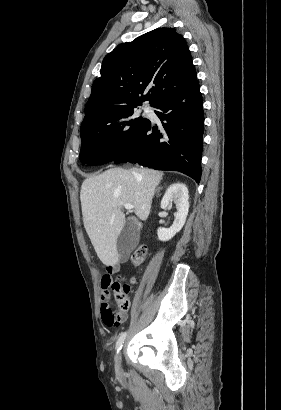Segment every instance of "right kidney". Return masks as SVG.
<instances>
[{"instance_id": "1", "label": "right kidney", "mask_w": 281, "mask_h": 410, "mask_svg": "<svg viewBox=\"0 0 281 410\" xmlns=\"http://www.w3.org/2000/svg\"><path fill=\"white\" fill-rule=\"evenodd\" d=\"M188 189L183 183L172 184L165 192L161 200V208L166 209L173 203L176 205L177 212L175 220L170 228H158L157 235L160 241H168L178 233L186 222L189 211Z\"/></svg>"}]
</instances>
